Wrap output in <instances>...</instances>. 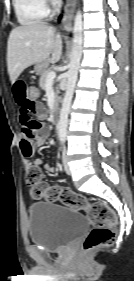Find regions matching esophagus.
Listing matches in <instances>:
<instances>
[{
	"label": "esophagus",
	"mask_w": 134,
	"mask_h": 281,
	"mask_svg": "<svg viewBox=\"0 0 134 281\" xmlns=\"http://www.w3.org/2000/svg\"><path fill=\"white\" fill-rule=\"evenodd\" d=\"M76 7V0H67L64 7V13L62 18V29L64 31L72 30V19Z\"/></svg>",
	"instance_id": "1"
}]
</instances>
